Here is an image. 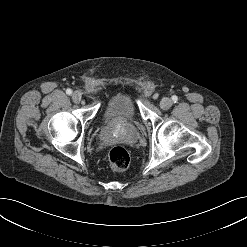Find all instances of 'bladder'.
I'll return each mask as SVG.
<instances>
[{
  "instance_id": "31cf9c89",
  "label": "bladder",
  "mask_w": 247,
  "mask_h": 247,
  "mask_svg": "<svg viewBox=\"0 0 247 247\" xmlns=\"http://www.w3.org/2000/svg\"><path fill=\"white\" fill-rule=\"evenodd\" d=\"M135 104L129 94L118 93L107 102L102 121L110 128L121 127L132 124L135 120Z\"/></svg>"
}]
</instances>
